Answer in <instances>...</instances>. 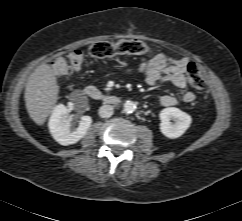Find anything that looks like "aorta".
<instances>
[{"label": "aorta", "instance_id": "1", "mask_svg": "<svg viewBox=\"0 0 242 221\" xmlns=\"http://www.w3.org/2000/svg\"><path fill=\"white\" fill-rule=\"evenodd\" d=\"M123 107L124 111L127 113H133L136 110V104L133 101H126Z\"/></svg>", "mask_w": 242, "mask_h": 221}]
</instances>
